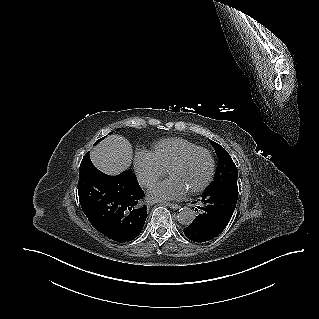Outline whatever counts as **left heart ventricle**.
<instances>
[{"mask_svg":"<svg viewBox=\"0 0 319 319\" xmlns=\"http://www.w3.org/2000/svg\"><path fill=\"white\" fill-rule=\"evenodd\" d=\"M210 169L208 156L199 152L192 155L181 166L170 172V177L179 180L187 190L199 186L206 179Z\"/></svg>","mask_w":319,"mask_h":319,"instance_id":"obj_1","label":"left heart ventricle"}]
</instances>
